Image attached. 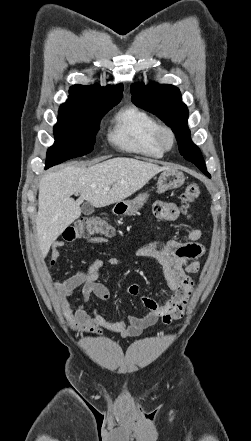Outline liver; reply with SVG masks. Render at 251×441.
<instances>
[{
    "label": "liver",
    "mask_w": 251,
    "mask_h": 441,
    "mask_svg": "<svg viewBox=\"0 0 251 441\" xmlns=\"http://www.w3.org/2000/svg\"><path fill=\"white\" fill-rule=\"evenodd\" d=\"M171 168L127 157H116L91 167L65 166L45 174L39 182L36 230L45 258L53 242L81 215L84 200L101 208L124 200L157 173ZM108 187V189H106ZM79 193L76 201L71 197Z\"/></svg>",
    "instance_id": "liver-1"
}]
</instances>
